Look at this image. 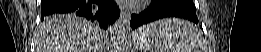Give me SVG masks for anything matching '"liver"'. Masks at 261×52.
Instances as JSON below:
<instances>
[{"label":"liver","instance_id":"6515ba94","mask_svg":"<svg viewBox=\"0 0 261 52\" xmlns=\"http://www.w3.org/2000/svg\"><path fill=\"white\" fill-rule=\"evenodd\" d=\"M102 45L97 23L73 14L46 17L35 38L36 52H101Z\"/></svg>","mask_w":261,"mask_h":52}]
</instances>
